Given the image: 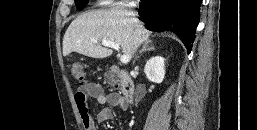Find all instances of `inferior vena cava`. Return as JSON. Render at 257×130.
Wrapping results in <instances>:
<instances>
[{
    "label": "inferior vena cava",
    "mask_w": 257,
    "mask_h": 130,
    "mask_svg": "<svg viewBox=\"0 0 257 130\" xmlns=\"http://www.w3.org/2000/svg\"><path fill=\"white\" fill-rule=\"evenodd\" d=\"M140 45V43H139V40H138V38L136 37L135 38V41H134V51L137 49V47Z\"/></svg>",
    "instance_id": "inferior-vena-cava-1"
}]
</instances>
